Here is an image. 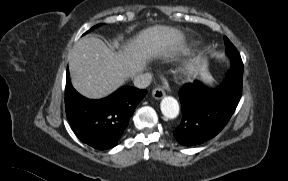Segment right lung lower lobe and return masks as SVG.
<instances>
[{
  "label": "right lung lower lobe",
  "instance_id": "98d812e1",
  "mask_svg": "<svg viewBox=\"0 0 288 181\" xmlns=\"http://www.w3.org/2000/svg\"><path fill=\"white\" fill-rule=\"evenodd\" d=\"M146 90L122 87L107 98L90 100L72 86L66 75L65 107L76 136L87 145L106 150L117 145Z\"/></svg>",
  "mask_w": 288,
  "mask_h": 181
}]
</instances>
